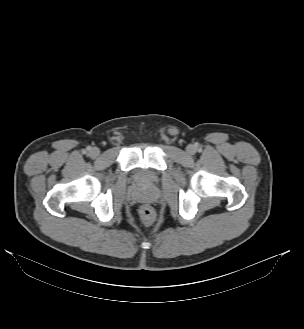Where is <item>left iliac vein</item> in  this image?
<instances>
[{"label": "left iliac vein", "mask_w": 304, "mask_h": 329, "mask_svg": "<svg viewBox=\"0 0 304 329\" xmlns=\"http://www.w3.org/2000/svg\"><path fill=\"white\" fill-rule=\"evenodd\" d=\"M186 150L190 155H193L195 153V147L193 145H188Z\"/></svg>", "instance_id": "4c4485c4"}]
</instances>
